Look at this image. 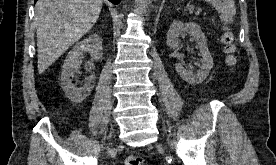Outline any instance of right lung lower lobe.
<instances>
[{
    "instance_id": "right-lung-lower-lobe-1",
    "label": "right lung lower lobe",
    "mask_w": 276,
    "mask_h": 165,
    "mask_svg": "<svg viewBox=\"0 0 276 165\" xmlns=\"http://www.w3.org/2000/svg\"><path fill=\"white\" fill-rule=\"evenodd\" d=\"M36 1H37V0H35V2H36ZM109 1H111V2L114 3V4H119L121 0H109Z\"/></svg>"
}]
</instances>
